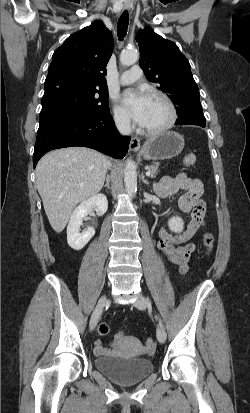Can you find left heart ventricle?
I'll list each match as a JSON object with an SVG mask.
<instances>
[{"label": "left heart ventricle", "mask_w": 250, "mask_h": 413, "mask_svg": "<svg viewBox=\"0 0 250 413\" xmlns=\"http://www.w3.org/2000/svg\"><path fill=\"white\" fill-rule=\"evenodd\" d=\"M169 118L168 108L160 101L151 98L146 118L142 126L155 129L163 126Z\"/></svg>", "instance_id": "b2bd125f"}]
</instances>
